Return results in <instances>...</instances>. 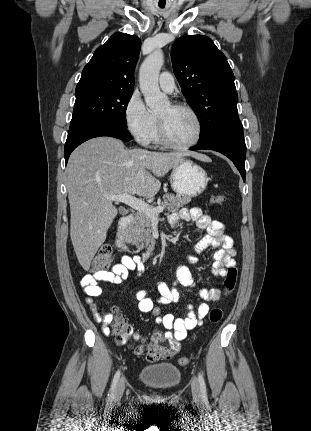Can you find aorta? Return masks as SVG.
<instances>
[{"instance_id": "obj_1", "label": "aorta", "mask_w": 311, "mask_h": 431, "mask_svg": "<svg viewBox=\"0 0 311 431\" xmlns=\"http://www.w3.org/2000/svg\"><path fill=\"white\" fill-rule=\"evenodd\" d=\"M164 64L162 50H155L145 58L139 70L140 90L144 96L146 106L151 110H160L170 106L168 96L159 90V74Z\"/></svg>"}]
</instances>
